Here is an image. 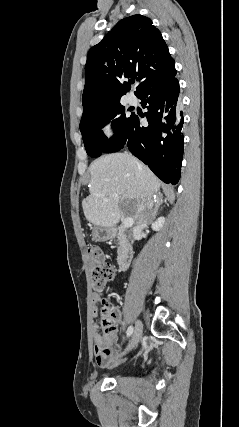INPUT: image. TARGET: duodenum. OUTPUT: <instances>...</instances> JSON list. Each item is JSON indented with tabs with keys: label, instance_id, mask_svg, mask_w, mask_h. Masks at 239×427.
Returning <instances> with one entry per match:
<instances>
[{
	"label": "duodenum",
	"instance_id": "410a0bca",
	"mask_svg": "<svg viewBox=\"0 0 239 427\" xmlns=\"http://www.w3.org/2000/svg\"><path fill=\"white\" fill-rule=\"evenodd\" d=\"M134 256V247L127 237H123L122 244L118 252V268L123 272L128 269Z\"/></svg>",
	"mask_w": 239,
	"mask_h": 427
}]
</instances>
